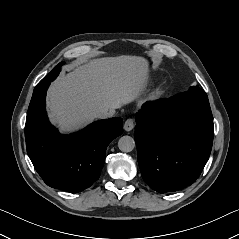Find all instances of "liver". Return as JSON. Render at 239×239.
Instances as JSON below:
<instances>
[{
    "mask_svg": "<svg viewBox=\"0 0 239 239\" xmlns=\"http://www.w3.org/2000/svg\"><path fill=\"white\" fill-rule=\"evenodd\" d=\"M148 62L122 55L91 60L58 78L48 91L50 120L69 132L92 122L104 110L135 100L145 89Z\"/></svg>",
    "mask_w": 239,
    "mask_h": 239,
    "instance_id": "1",
    "label": "liver"
}]
</instances>
